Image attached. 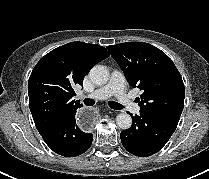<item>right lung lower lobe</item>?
I'll list each match as a JSON object with an SVG mask.
<instances>
[{"label":"right lung lower lobe","mask_w":209,"mask_h":179,"mask_svg":"<svg viewBox=\"0 0 209 179\" xmlns=\"http://www.w3.org/2000/svg\"><path fill=\"white\" fill-rule=\"evenodd\" d=\"M76 111L60 119L48 131L41 134L45 143L57 154L73 157L86 152L93 135L83 132L75 121Z\"/></svg>","instance_id":"obj_1"}]
</instances>
